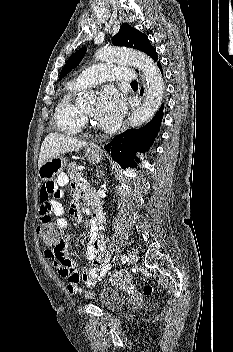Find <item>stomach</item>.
Wrapping results in <instances>:
<instances>
[{
  "instance_id": "obj_1",
  "label": "stomach",
  "mask_w": 233,
  "mask_h": 352,
  "mask_svg": "<svg viewBox=\"0 0 233 352\" xmlns=\"http://www.w3.org/2000/svg\"><path fill=\"white\" fill-rule=\"evenodd\" d=\"M102 151L97 148H88L86 157L92 163H98L102 159ZM66 166V161L62 157L51 158L44 162L38 169V176L42 181L52 180Z\"/></svg>"
}]
</instances>
